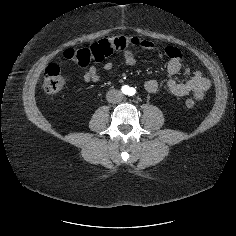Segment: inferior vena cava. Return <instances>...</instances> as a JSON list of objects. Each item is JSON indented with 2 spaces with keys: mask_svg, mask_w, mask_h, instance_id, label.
I'll return each instance as SVG.
<instances>
[{
  "mask_svg": "<svg viewBox=\"0 0 236 236\" xmlns=\"http://www.w3.org/2000/svg\"><path fill=\"white\" fill-rule=\"evenodd\" d=\"M106 99L109 103H119L123 99V94L119 90H110L106 94Z\"/></svg>",
  "mask_w": 236,
  "mask_h": 236,
  "instance_id": "obj_1",
  "label": "inferior vena cava"
}]
</instances>
